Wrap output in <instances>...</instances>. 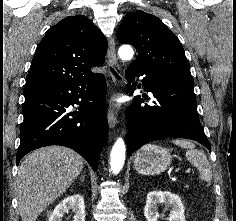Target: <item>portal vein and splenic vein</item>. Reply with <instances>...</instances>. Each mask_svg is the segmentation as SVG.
<instances>
[{
  "label": "portal vein and splenic vein",
  "mask_w": 236,
  "mask_h": 221,
  "mask_svg": "<svg viewBox=\"0 0 236 221\" xmlns=\"http://www.w3.org/2000/svg\"><path fill=\"white\" fill-rule=\"evenodd\" d=\"M185 172H186V173H189V172H191V169L188 168V169L185 170Z\"/></svg>",
  "instance_id": "obj_1"
}]
</instances>
